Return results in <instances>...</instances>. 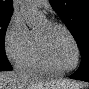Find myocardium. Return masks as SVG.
I'll list each match as a JSON object with an SVG mask.
<instances>
[{"label": "myocardium", "mask_w": 89, "mask_h": 89, "mask_svg": "<svg viewBox=\"0 0 89 89\" xmlns=\"http://www.w3.org/2000/svg\"><path fill=\"white\" fill-rule=\"evenodd\" d=\"M47 24L50 27H59V28L63 29L66 32V34L68 35V37L71 39V41L74 45L75 52H76V58H75L74 65L72 67L68 68V69L59 70V69H56L52 65L44 40L42 39V37L38 33L35 32L39 52H40L45 64L47 65V67H49L57 75H64V74L76 69L77 66L79 65L80 49H79L78 43H77L74 35L72 34L70 29L65 24L58 22V21H52V20H47Z\"/></svg>", "instance_id": "1"}]
</instances>
